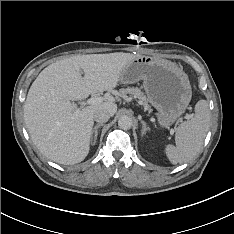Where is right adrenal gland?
<instances>
[{"instance_id":"1","label":"right adrenal gland","mask_w":234,"mask_h":234,"mask_svg":"<svg viewBox=\"0 0 234 234\" xmlns=\"http://www.w3.org/2000/svg\"><path fill=\"white\" fill-rule=\"evenodd\" d=\"M101 126H103V124L102 123H100V124H97L94 128H93V130H92V132H91V139H92V141H93V145L96 143V141H97V136H98V129L101 127ZM94 135V136H93Z\"/></svg>"}]
</instances>
